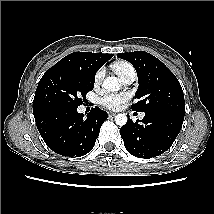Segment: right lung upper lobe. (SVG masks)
<instances>
[{
    "mask_svg": "<svg viewBox=\"0 0 214 214\" xmlns=\"http://www.w3.org/2000/svg\"><path fill=\"white\" fill-rule=\"evenodd\" d=\"M112 57L113 54L74 52L65 56L51 68L80 71L95 76L99 68Z\"/></svg>",
    "mask_w": 214,
    "mask_h": 214,
    "instance_id": "obj_1",
    "label": "right lung upper lobe"
}]
</instances>
